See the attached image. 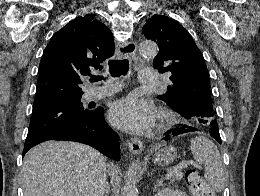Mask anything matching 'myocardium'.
Segmentation results:
<instances>
[{
	"label": "myocardium",
	"mask_w": 260,
	"mask_h": 196,
	"mask_svg": "<svg viewBox=\"0 0 260 196\" xmlns=\"http://www.w3.org/2000/svg\"><path fill=\"white\" fill-rule=\"evenodd\" d=\"M173 123L172 117L165 111L160 110L157 115V121L155 124L156 130H162L170 126Z\"/></svg>",
	"instance_id": "f54148a6"
}]
</instances>
